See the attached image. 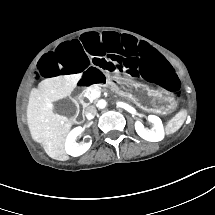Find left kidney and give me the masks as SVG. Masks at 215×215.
Listing matches in <instances>:
<instances>
[{"label":"left kidney","mask_w":215,"mask_h":215,"mask_svg":"<svg viewBox=\"0 0 215 215\" xmlns=\"http://www.w3.org/2000/svg\"><path fill=\"white\" fill-rule=\"evenodd\" d=\"M148 119L153 122L155 128L146 129L142 122L137 121L135 123V129L138 135L143 139L151 142H158L163 140L165 137V130L160 117L156 115H149Z\"/></svg>","instance_id":"1"}]
</instances>
